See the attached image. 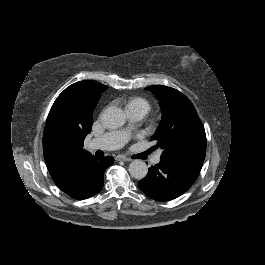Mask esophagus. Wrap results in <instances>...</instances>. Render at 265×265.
Segmentation results:
<instances>
[{
  "mask_svg": "<svg viewBox=\"0 0 265 265\" xmlns=\"http://www.w3.org/2000/svg\"><path fill=\"white\" fill-rule=\"evenodd\" d=\"M115 159L118 161H131L130 158L123 156V155H117Z\"/></svg>",
  "mask_w": 265,
  "mask_h": 265,
  "instance_id": "esophagus-1",
  "label": "esophagus"
}]
</instances>
